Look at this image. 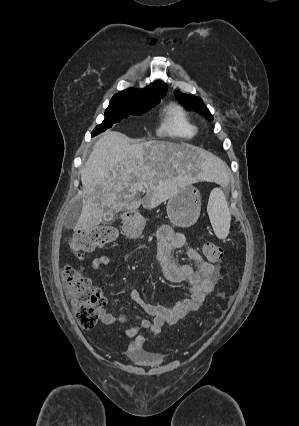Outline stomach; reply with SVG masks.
<instances>
[{
  "mask_svg": "<svg viewBox=\"0 0 299 426\" xmlns=\"http://www.w3.org/2000/svg\"><path fill=\"white\" fill-rule=\"evenodd\" d=\"M201 195L199 190L192 186L179 188L167 203V215L170 222L178 227L186 228L195 224L200 216ZM130 236H138L140 226L134 221L127 225Z\"/></svg>",
  "mask_w": 299,
  "mask_h": 426,
  "instance_id": "stomach-1",
  "label": "stomach"
}]
</instances>
